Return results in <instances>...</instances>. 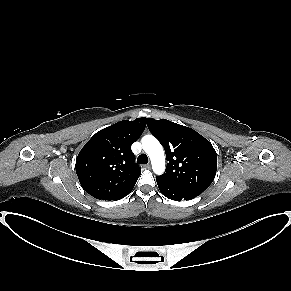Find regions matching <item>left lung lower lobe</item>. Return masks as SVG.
<instances>
[{
  "label": "left lung lower lobe",
  "instance_id": "obj_1",
  "mask_svg": "<svg viewBox=\"0 0 291 291\" xmlns=\"http://www.w3.org/2000/svg\"><path fill=\"white\" fill-rule=\"evenodd\" d=\"M156 181L161 193L171 200H190L201 194L195 191L175 186L172 183L161 179L159 176L156 177Z\"/></svg>",
  "mask_w": 291,
  "mask_h": 291
}]
</instances>
